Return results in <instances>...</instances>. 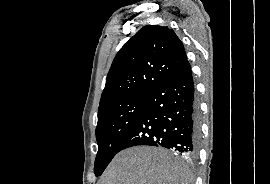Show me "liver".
<instances>
[{"mask_svg":"<svg viewBox=\"0 0 270 184\" xmlns=\"http://www.w3.org/2000/svg\"><path fill=\"white\" fill-rule=\"evenodd\" d=\"M190 179L188 167L166 150L139 146L118 153L99 184H189Z\"/></svg>","mask_w":270,"mask_h":184,"instance_id":"6515ba94","label":"liver"}]
</instances>
